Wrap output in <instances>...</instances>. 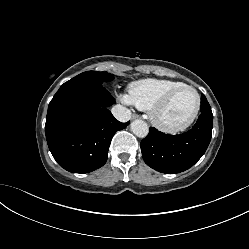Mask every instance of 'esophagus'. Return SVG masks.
Instances as JSON below:
<instances>
[{
  "instance_id": "obj_1",
  "label": "esophagus",
  "mask_w": 249,
  "mask_h": 249,
  "mask_svg": "<svg viewBox=\"0 0 249 249\" xmlns=\"http://www.w3.org/2000/svg\"><path fill=\"white\" fill-rule=\"evenodd\" d=\"M137 118H139V116L137 114L132 115V119H137Z\"/></svg>"
}]
</instances>
